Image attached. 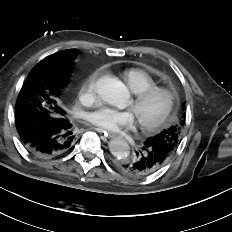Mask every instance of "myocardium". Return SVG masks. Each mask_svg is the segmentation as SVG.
Returning <instances> with one entry per match:
<instances>
[{
  "mask_svg": "<svg viewBox=\"0 0 232 232\" xmlns=\"http://www.w3.org/2000/svg\"><path fill=\"white\" fill-rule=\"evenodd\" d=\"M164 95L166 98V104L164 107L163 112L152 121L146 122L142 120H138V126L140 129L144 132H154L164 124H166L171 116V113L174 109L175 102H176V93L167 87L163 86H153L148 89H145L141 92H138L134 95V98L132 100V107H137L141 105L143 102H145L147 99L154 95Z\"/></svg>",
  "mask_w": 232,
  "mask_h": 232,
  "instance_id": "myocardium-1",
  "label": "myocardium"
}]
</instances>
